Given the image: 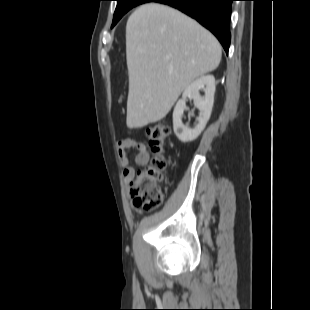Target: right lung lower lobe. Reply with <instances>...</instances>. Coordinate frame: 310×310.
I'll use <instances>...</instances> for the list:
<instances>
[{"mask_svg": "<svg viewBox=\"0 0 310 310\" xmlns=\"http://www.w3.org/2000/svg\"><path fill=\"white\" fill-rule=\"evenodd\" d=\"M172 6L210 30L226 53L230 46V17L234 0H152Z\"/></svg>", "mask_w": 310, "mask_h": 310, "instance_id": "right-lung-lower-lobe-1", "label": "right lung lower lobe"}]
</instances>
